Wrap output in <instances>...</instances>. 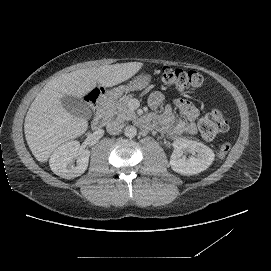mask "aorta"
<instances>
[{"mask_svg":"<svg viewBox=\"0 0 271 271\" xmlns=\"http://www.w3.org/2000/svg\"><path fill=\"white\" fill-rule=\"evenodd\" d=\"M137 134V129L132 126V125H127L125 128H124V135L128 138H132L134 136H136Z\"/></svg>","mask_w":271,"mask_h":271,"instance_id":"obj_1","label":"aorta"}]
</instances>
